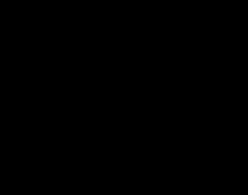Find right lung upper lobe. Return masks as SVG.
I'll use <instances>...</instances> for the list:
<instances>
[{
	"label": "right lung upper lobe",
	"mask_w": 248,
	"mask_h": 195,
	"mask_svg": "<svg viewBox=\"0 0 248 195\" xmlns=\"http://www.w3.org/2000/svg\"><path fill=\"white\" fill-rule=\"evenodd\" d=\"M81 32H85V31H80V32H76V33H81ZM74 34V33H73ZM72 35V34H71Z\"/></svg>",
	"instance_id": "cb5924a9"
}]
</instances>
